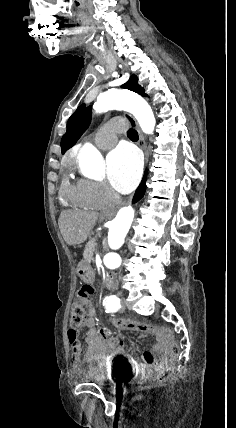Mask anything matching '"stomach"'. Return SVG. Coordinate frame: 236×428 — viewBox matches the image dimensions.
I'll return each mask as SVG.
<instances>
[{
  "instance_id": "stomach-1",
  "label": "stomach",
  "mask_w": 236,
  "mask_h": 428,
  "mask_svg": "<svg viewBox=\"0 0 236 428\" xmlns=\"http://www.w3.org/2000/svg\"><path fill=\"white\" fill-rule=\"evenodd\" d=\"M94 267L90 261H85L78 267L79 278L83 286L88 287L90 284H94L97 281L96 274H93Z\"/></svg>"
}]
</instances>
